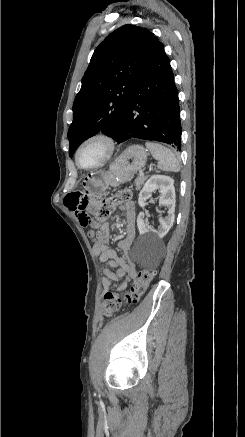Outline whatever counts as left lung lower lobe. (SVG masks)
Wrapping results in <instances>:
<instances>
[{
  "instance_id": "1",
  "label": "left lung lower lobe",
  "mask_w": 245,
  "mask_h": 437,
  "mask_svg": "<svg viewBox=\"0 0 245 437\" xmlns=\"http://www.w3.org/2000/svg\"><path fill=\"white\" fill-rule=\"evenodd\" d=\"M181 132L178 91L170 60L160 43L132 89L117 142L153 140L179 151Z\"/></svg>"
}]
</instances>
